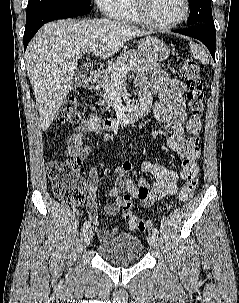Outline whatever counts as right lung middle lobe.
<instances>
[{"mask_svg":"<svg viewBox=\"0 0 239 303\" xmlns=\"http://www.w3.org/2000/svg\"><path fill=\"white\" fill-rule=\"evenodd\" d=\"M90 0H29L27 11L46 6H90Z\"/></svg>","mask_w":239,"mask_h":303,"instance_id":"right-lung-middle-lobe-1","label":"right lung middle lobe"}]
</instances>
